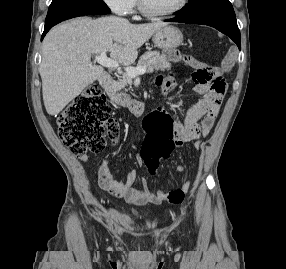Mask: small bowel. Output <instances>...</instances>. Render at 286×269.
Instances as JSON below:
<instances>
[{
    "mask_svg": "<svg viewBox=\"0 0 286 269\" xmlns=\"http://www.w3.org/2000/svg\"><path fill=\"white\" fill-rule=\"evenodd\" d=\"M187 61H189V59H187ZM196 89L199 91V88ZM224 90L226 92V88H224ZM162 92L164 96L168 97L171 94V89L162 87ZM208 101L209 95H205L203 99L187 110L182 122L172 120L175 121V126H172V128L175 136L177 137L178 146L186 142H193L196 148H200L202 146L200 138L206 137L210 134L219 115L223 100H218L219 104L216 105V110L206 109V106L209 105ZM87 160L88 157L86 155L81 156L82 162H86ZM135 162L138 166H143L145 164L144 156L137 154L135 156ZM175 171L183 173L185 171V167L183 165H176ZM97 173L98 185L102 190L115 198L136 204H161L163 202H170L172 204L179 205L182 202L177 198L178 191L182 190L186 192L190 187V181H186L181 187L170 192H165L162 189L152 192L148 187L147 180L143 179V187L135 188L134 184L137 180V172L135 170L129 171L125 181L120 182L112 176L109 162L102 164L98 168Z\"/></svg>",
    "mask_w": 286,
    "mask_h": 269,
    "instance_id": "1",
    "label": "small bowel"
}]
</instances>
